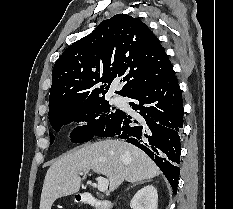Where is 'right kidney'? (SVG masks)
Instances as JSON below:
<instances>
[{"label": "right kidney", "instance_id": "ca27d5eb", "mask_svg": "<svg viewBox=\"0 0 233 209\" xmlns=\"http://www.w3.org/2000/svg\"><path fill=\"white\" fill-rule=\"evenodd\" d=\"M158 194L153 185H147L133 196L131 209H157Z\"/></svg>", "mask_w": 233, "mask_h": 209}]
</instances>
